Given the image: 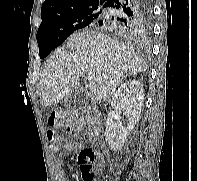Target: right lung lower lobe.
Masks as SVG:
<instances>
[{
	"mask_svg": "<svg viewBox=\"0 0 197 181\" xmlns=\"http://www.w3.org/2000/svg\"><path fill=\"white\" fill-rule=\"evenodd\" d=\"M103 7L112 13L100 18L91 26L117 31L129 37L142 34L152 19L151 0H108Z\"/></svg>",
	"mask_w": 197,
	"mask_h": 181,
	"instance_id": "right-lung-lower-lobe-1",
	"label": "right lung lower lobe"
}]
</instances>
